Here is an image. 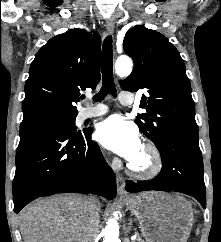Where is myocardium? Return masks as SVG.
Listing matches in <instances>:
<instances>
[{"label":"myocardium","instance_id":"myocardium-1","mask_svg":"<svg viewBox=\"0 0 221 242\" xmlns=\"http://www.w3.org/2000/svg\"><path fill=\"white\" fill-rule=\"evenodd\" d=\"M141 150L146 157L145 164L139 166L133 162H129L127 168L129 172L138 179H151L157 176L162 169V155L159 149L151 142L144 143Z\"/></svg>","mask_w":221,"mask_h":242}]
</instances>
